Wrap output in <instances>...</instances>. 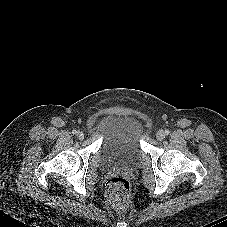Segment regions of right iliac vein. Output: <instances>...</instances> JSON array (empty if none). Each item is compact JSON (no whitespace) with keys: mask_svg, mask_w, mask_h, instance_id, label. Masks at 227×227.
<instances>
[{"mask_svg":"<svg viewBox=\"0 0 227 227\" xmlns=\"http://www.w3.org/2000/svg\"><path fill=\"white\" fill-rule=\"evenodd\" d=\"M77 138L82 140L84 138V133L82 131L77 132Z\"/></svg>","mask_w":227,"mask_h":227,"instance_id":"right-iliac-vein-1","label":"right iliac vein"}]
</instances>
